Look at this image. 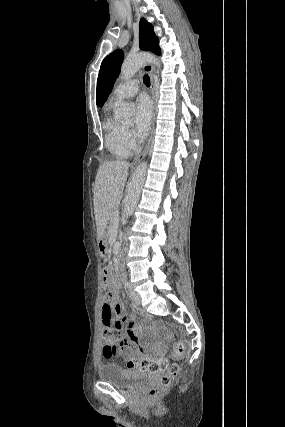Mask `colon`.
Wrapping results in <instances>:
<instances>
[{"mask_svg": "<svg viewBox=\"0 0 285 427\" xmlns=\"http://www.w3.org/2000/svg\"><path fill=\"white\" fill-rule=\"evenodd\" d=\"M102 280L103 285L106 288L104 293V304L112 309L110 304L114 299V285L112 272L109 268L102 269ZM102 337L105 341L103 347V355L106 359H110L120 347L121 332L117 325H105L102 329ZM184 353V343L175 342L172 344L169 350L168 357L171 359H177L182 357ZM130 368L145 370L152 373L160 374V378L157 384L149 389L148 397L150 401L156 400L161 394L166 392L173 383V380L179 374V366L176 363L169 365L168 358H138L130 359L128 361Z\"/></svg>", "mask_w": 285, "mask_h": 427, "instance_id": "colon-1", "label": "colon"}]
</instances>
